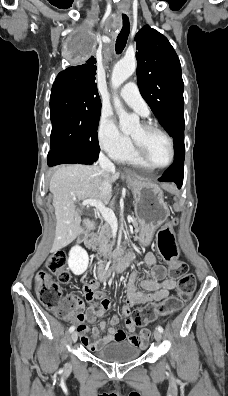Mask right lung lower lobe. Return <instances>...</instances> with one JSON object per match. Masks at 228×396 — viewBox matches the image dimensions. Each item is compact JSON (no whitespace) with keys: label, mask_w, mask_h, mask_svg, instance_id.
I'll list each match as a JSON object with an SVG mask.
<instances>
[{"label":"right lung lower lobe","mask_w":228,"mask_h":396,"mask_svg":"<svg viewBox=\"0 0 228 396\" xmlns=\"http://www.w3.org/2000/svg\"><path fill=\"white\" fill-rule=\"evenodd\" d=\"M47 161H48L49 167L59 165V164H76L77 163L75 160L69 159L64 155H61L59 153H52V152H49Z\"/></svg>","instance_id":"1"}]
</instances>
